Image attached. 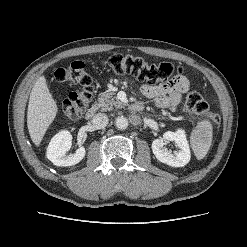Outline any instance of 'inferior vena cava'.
I'll list each match as a JSON object with an SVG mask.
<instances>
[{
  "label": "inferior vena cava",
  "mask_w": 247,
  "mask_h": 247,
  "mask_svg": "<svg viewBox=\"0 0 247 247\" xmlns=\"http://www.w3.org/2000/svg\"><path fill=\"white\" fill-rule=\"evenodd\" d=\"M108 122H109L108 116L103 113L96 114L92 119L93 125L98 129L106 127Z\"/></svg>",
  "instance_id": "602c4592"
}]
</instances>
